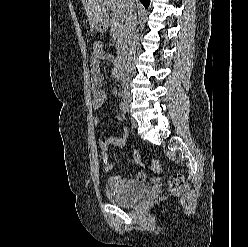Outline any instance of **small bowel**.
I'll return each instance as SVG.
<instances>
[{
	"mask_svg": "<svg viewBox=\"0 0 248 247\" xmlns=\"http://www.w3.org/2000/svg\"><path fill=\"white\" fill-rule=\"evenodd\" d=\"M101 61H107L112 63L114 65L112 69V74L116 75L118 73L117 61L112 55L104 51L93 52L90 59V74H91V92L93 95L92 108L94 110L101 108L106 100V94L103 90L104 76L100 70ZM94 123L95 125H100L101 118L99 116H96L94 118ZM128 134H129L128 130L123 129L120 135L116 137L102 139L99 142L100 149L102 150V157L104 159V169L108 173H110L113 170V164L108 160L107 151L110 148L123 147L127 140ZM146 178L147 175L144 172L138 173L134 178L130 180H127L122 177H115L121 189L137 186L143 183L146 180Z\"/></svg>",
	"mask_w": 248,
	"mask_h": 247,
	"instance_id": "1",
	"label": "small bowel"
}]
</instances>
